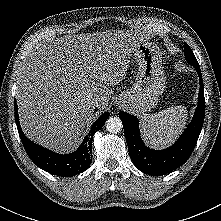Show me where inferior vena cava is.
I'll list each match as a JSON object with an SVG mask.
<instances>
[{
    "label": "inferior vena cava",
    "instance_id": "inferior-vena-cava-1",
    "mask_svg": "<svg viewBox=\"0 0 221 221\" xmlns=\"http://www.w3.org/2000/svg\"><path fill=\"white\" fill-rule=\"evenodd\" d=\"M99 106H100V102L97 99L92 100L90 102V108H92V109L98 108Z\"/></svg>",
    "mask_w": 221,
    "mask_h": 221
}]
</instances>
